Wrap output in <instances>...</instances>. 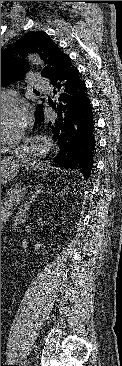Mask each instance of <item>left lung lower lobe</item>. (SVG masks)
<instances>
[{"label":"left lung lower lobe","instance_id":"left-lung-lower-lobe-1","mask_svg":"<svg viewBox=\"0 0 122 366\" xmlns=\"http://www.w3.org/2000/svg\"><path fill=\"white\" fill-rule=\"evenodd\" d=\"M46 78L51 89L48 103L55 111L48 125L61 146L55 161L60 166L71 165L82 177L88 178L94 163L96 127L84 81L69 56ZM43 117V105H38L36 122L40 123Z\"/></svg>","mask_w":122,"mask_h":366}]
</instances>
